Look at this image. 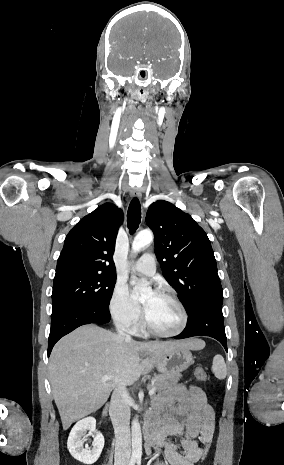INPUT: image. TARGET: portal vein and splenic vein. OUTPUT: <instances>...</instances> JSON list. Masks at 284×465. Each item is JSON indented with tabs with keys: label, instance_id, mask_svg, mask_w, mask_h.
<instances>
[{
	"label": "portal vein and splenic vein",
	"instance_id": "portal-vein-and-splenic-vein-1",
	"mask_svg": "<svg viewBox=\"0 0 284 465\" xmlns=\"http://www.w3.org/2000/svg\"><path fill=\"white\" fill-rule=\"evenodd\" d=\"M112 379L113 377H109V375H102V377H100L101 383H107V381H112ZM154 393H155V389H151L148 395H154Z\"/></svg>",
	"mask_w": 284,
	"mask_h": 465
}]
</instances>
